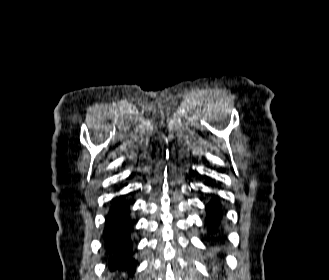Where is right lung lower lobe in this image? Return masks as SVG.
Returning <instances> with one entry per match:
<instances>
[{"mask_svg": "<svg viewBox=\"0 0 329 280\" xmlns=\"http://www.w3.org/2000/svg\"><path fill=\"white\" fill-rule=\"evenodd\" d=\"M128 209L126 202L115 201L107 216L104 241L110 258V266L121 267L133 272L136 262L131 257L130 232L132 226L127 217Z\"/></svg>", "mask_w": 329, "mask_h": 280, "instance_id": "obj_1", "label": "right lung lower lobe"}]
</instances>
